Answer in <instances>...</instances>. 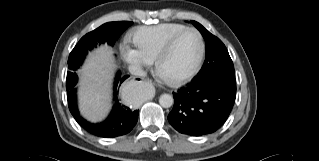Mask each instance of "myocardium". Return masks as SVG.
I'll return each mask as SVG.
<instances>
[{"label":"myocardium","mask_w":319,"mask_h":161,"mask_svg":"<svg viewBox=\"0 0 319 161\" xmlns=\"http://www.w3.org/2000/svg\"><path fill=\"white\" fill-rule=\"evenodd\" d=\"M188 32H194L197 35L198 42H199V54H198V57H197V60L194 64V66L188 72L181 74V75H178V76L164 75L161 71L162 62L168 56V54L171 52V50L173 49L176 42L184 34H186ZM204 55H205V43H204V39H203L201 32L195 28H186L184 30H181V31L175 33L164 44V46L162 47V49L158 53L157 57L155 58V63H154L155 71L165 82H167L169 84H181V83L188 81L189 79H191L193 76H195L197 74V72L199 71V69L203 63Z\"/></svg>","instance_id":"obj_1"}]
</instances>
